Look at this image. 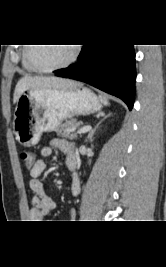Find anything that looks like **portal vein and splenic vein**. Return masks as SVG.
<instances>
[{
    "label": "portal vein and splenic vein",
    "mask_w": 166,
    "mask_h": 267,
    "mask_svg": "<svg viewBox=\"0 0 166 267\" xmlns=\"http://www.w3.org/2000/svg\"><path fill=\"white\" fill-rule=\"evenodd\" d=\"M90 130H91V126H85V127L81 128L77 133L78 134L86 133V132H88Z\"/></svg>",
    "instance_id": "obj_1"
}]
</instances>
